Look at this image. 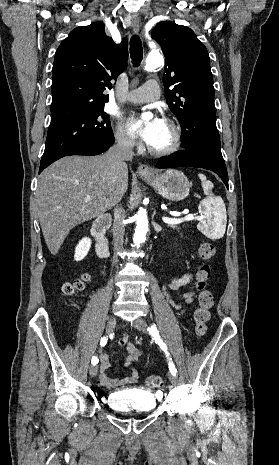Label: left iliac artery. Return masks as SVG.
<instances>
[{
	"mask_svg": "<svg viewBox=\"0 0 279 465\" xmlns=\"http://www.w3.org/2000/svg\"><path fill=\"white\" fill-rule=\"evenodd\" d=\"M149 333L153 336V338L156 340V342L158 343V345L160 346V348L167 354V356L169 357V353H168V350H167V347H166V344L162 341V339L160 338L159 336V333H158V330L156 328V325H152L149 329H148ZM169 370L170 372L173 374V375H176V368L174 366V364L172 363L171 361V358H169Z\"/></svg>",
	"mask_w": 279,
	"mask_h": 465,
	"instance_id": "1",
	"label": "left iliac artery"
}]
</instances>
